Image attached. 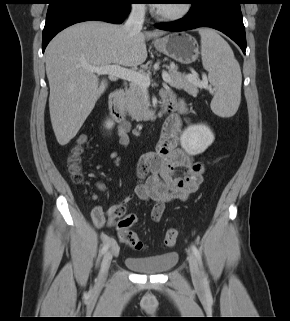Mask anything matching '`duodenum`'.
Wrapping results in <instances>:
<instances>
[{
    "instance_id": "410a0bca",
    "label": "duodenum",
    "mask_w": 290,
    "mask_h": 321,
    "mask_svg": "<svg viewBox=\"0 0 290 321\" xmlns=\"http://www.w3.org/2000/svg\"><path fill=\"white\" fill-rule=\"evenodd\" d=\"M123 90L121 88L114 89L108 98V105L111 115L119 122H129L135 119L130 113H128L122 107ZM162 104L159 113L150 114L140 117L141 119L153 120L156 119L159 114H171L174 112H180L184 109V105L181 101H178L171 95L162 97Z\"/></svg>"
}]
</instances>
